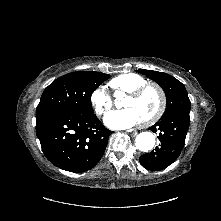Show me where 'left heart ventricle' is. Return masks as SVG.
<instances>
[{
  "mask_svg": "<svg viewBox=\"0 0 221 221\" xmlns=\"http://www.w3.org/2000/svg\"><path fill=\"white\" fill-rule=\"evenodd\" d=\"M159 103L160 101L157 92L150 88L139 98L126 97L122 106L134 110L142 121L156 112Z\"/></svg>",
  "mask_w": 221,
  "mask_h": 221,
  "instance_id": "left-heart-ventricle-1",
  "label": "left heart ventricle"
}]
</instances>
